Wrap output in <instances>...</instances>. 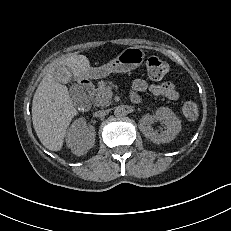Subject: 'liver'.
Segmentation results:
<instances>
[{
    "label": "liver",
    "instance_id": "obj_1",
    "mask_svg": "<svg viewBox=\"0 0 231 231\" xmlns=\"http://www.w3.org/2000/svg\"><path fill=\"white\" fill-rule=\"evenodd\" d=\"M57 66L59 71L65 69L78 77L90 69V62L84 55H72L60 61ZM58 75L53 68L44 76L32 102L35 132L41 143L51 151L62 149L67 128L77 115L68 88L59 83Z\"/></svg>",
    "mask_w": 231,
    "mask_h": 231
}]
</instances>
